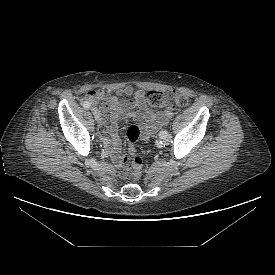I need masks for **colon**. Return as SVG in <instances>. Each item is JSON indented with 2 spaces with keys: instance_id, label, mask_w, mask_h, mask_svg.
Returning <instances> with one entry per match:
<instances>
[{
  "instance_id": "5ec220e1",
  "label": "colon",
  "mask_w": 275,
  "mask_h": 275,
  "mask_svg": "<svg viewBox=\"0 0 275 275\" xmlns=\"http://www.w3.org/2000/svg\"><path fill=\"white\" fill-rule=\"evenodd\" d=\"M147 101L155 107H184L188 99L176 90H153L147 94ZM127 139L130 144V157L126 161L125 173L134 180H137L142 173V160L134 155V144L141 136V129L137 125H132L127 129Z\"/></svg>"
}]
</instances>
